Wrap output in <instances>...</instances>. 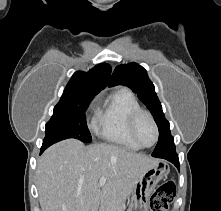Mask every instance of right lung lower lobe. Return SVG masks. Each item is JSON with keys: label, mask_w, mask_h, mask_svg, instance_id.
Returning a JSON list of instances; mask_svg holds the SVG:
<instances>
[{"label": "right lung lower lobe", "mask_w": 221, "mask_h": 211, "mask_svg": "<svg viewBox=\"0 0 221 211\" xmlns=\"http://www.w3.org/2000/svg\"><path fill=\"white\" fill-rule=\"evenodd\" d=\"M49 146L48 145H42V148H41V152L42 153L46 148H48Z\"/></svg>", "instance_id": "obj_1"}]
</instances>
